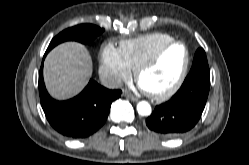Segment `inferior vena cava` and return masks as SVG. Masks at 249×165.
Here are the masks:
<instances>
[{"mask_svg": "<svg viewBox=\"0 0 249 165\" xmlns=\"http://www.w3.org/2000/svg\"><path fill=\"white\" fill-rule=\"evenodd\" d=\"M101 83L103 86L110 88V89H116L122 86V81L120 78L114 77V76H106L101 78Z\"/></svg>", "mask_w": 249, "mask_h": 165, "instance_id": "inferior-vena-cava-1", "label": "inferior vena cava"}]
</instances>
